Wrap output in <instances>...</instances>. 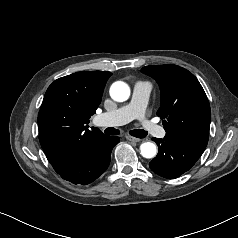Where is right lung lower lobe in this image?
I'll use <instances>...</instances> for the list:
<instances>
[{"instance_id":"1","label":"right lung lower lobe","mask_w":238,"mask_h":238,"mask_svg":"<svg viewBox=\"0 0 238 238\" xmlns=\"http://www.w3.org/2000/svg\"><path fill=\"white\" fill-rule=\"evenodd\" d=\"M119 137L97 134L82 141L65 159L53 163L54 170L73 184L87 185L108 168Z\"/></svg>"}]
</instances>
